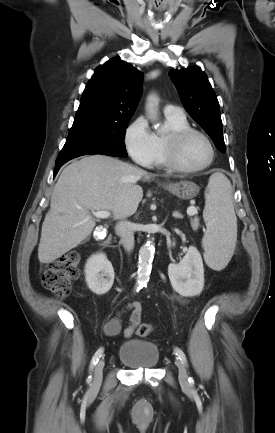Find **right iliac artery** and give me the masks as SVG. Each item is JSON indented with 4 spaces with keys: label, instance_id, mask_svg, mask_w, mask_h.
Listing matches in <instances>:
<instances>
[{
    "label": "right iliac artery",
    "instance_id": "82829eb1",
    "mask_svg": "<svg viewBox=\"0 0 275 433\" xmlns=\"http://www.w3.org/2000/svg\"><path fill=\"white\" fill-rule=\"evenodd\" d=\"M140 289H141V287H136V288H135V290H136L137 292H138ZM103 351H104V349L101 347V348H99V349L95 352V354H94V356L92 357L91 362H90V366H89V370H90V372L94 369L95 365L98 363L100 357H101L102 354H103ZM88 381H91V375L88 377Z\"/></svg>",
    "mask_w": 275,
    "mask_h": 433
}]
</instances>
